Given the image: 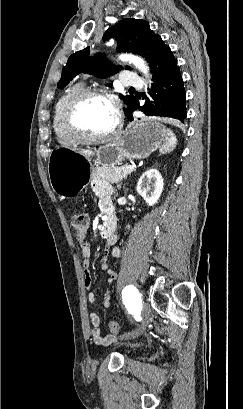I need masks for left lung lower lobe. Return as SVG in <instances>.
I'll return each instance as SVG.
<instances>
[{
  "label": "left lung lower lobe",
  "instance_id": "0a47b994",
  "mask_svg": "<svg viewBox=\"0 0 243 409\" xmlns=\"http://www.w3.org/2000/svg\"><path fill=\"white\" fill-rule=\"evenodd\" d=\"M151 96L154 104L149 100L140 106L136 99L132 107L126 112L127 119L133 120L132 112L139 109L147 116L168 117L184 122L187 116L185 102L186 95L177 60L163 67L153 75Z\"/></svg>",
  "mask_w": 243,
  "mask_h": 409
}]
</instances>
